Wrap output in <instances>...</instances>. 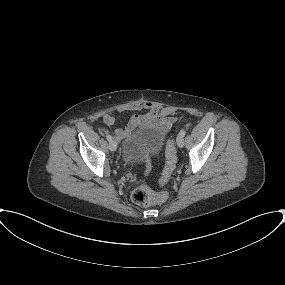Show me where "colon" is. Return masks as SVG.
Masks as SVG:
<instances>
[{
	"instance_id": "1",
	"label": "colon",
	"mask_w": 285,
	"mask_h": 285,
	"mask_svg": "<svg viewBox=\"0 0 285 285\" xmlns=\"http://www.w3.org/2000/svg\"><path fill=\"white\" fill-rule=\"evenodd\" d=\"M166 156L167 164L162 174V183L168 181L171 177L176 164V155L172 139L168 142ZM132 200L134 203L141 206L162 204L166 200V194L156 193L150 186L143 184L132 192Z\"/></svg>"
}]
</instances>
